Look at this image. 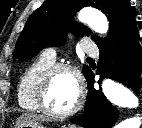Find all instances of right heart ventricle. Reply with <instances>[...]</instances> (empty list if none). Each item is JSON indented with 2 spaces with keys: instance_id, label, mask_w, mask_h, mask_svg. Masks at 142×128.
<instances>
[{
  "instance_id": "e07e8e85",
  "label": "right heart ventricle",
  "mask_w": 142,
  "mask_h": 128,
  "mask_svg": "<svg viewBox=\"0 0 142 128\" xmlns=\"http://www.w3.org/2000/svg\"><path fill=\"white\" fill-rule=\"evenodd\" d=\"M52 61L43 55L33 61L22 73L17 85L18 104L28 111H39L37 102V89L44 72L54 65Z\"/></svg>"
}]
</instances>
